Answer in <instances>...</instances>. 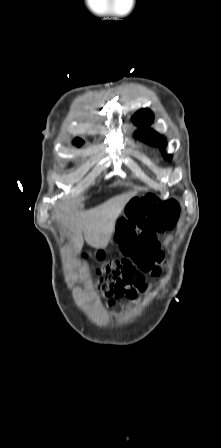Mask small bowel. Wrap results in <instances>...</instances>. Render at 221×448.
I'll list each match as a JSON object with an SVG mask.
<instances>
[{"label":"small bowel","mask_w":221,"mask_h":448,"mask_svg":"<svg viewBox=\"0 0 221 448\" xmlns=\"http://www.w3.org/2000/svg\"><path fill=\"white\" fill-rule=\"evenodd\" d=\"M140 217L141 218H143V219H146V214L143 212V211H140ZM169 238H167L165 241H164V244L166 245V244H168L169 243ZM118 241V243H119V245H120V247H121V250H122V252L125 254V255H127V256H130L131 255V252L129 251V249H128V245H130V244H132V243H134V241H135V239H134V237H131L130 239H128V240H126V241H122V240H117ZM109 296L111 297L110 299H109V301H108V305L109 306H114L115 304H116V300L117 299H119V298H121V290H118V289H110L109 290Z\"/></svg>","instance_id":"small-bowel-1"}]
</instances>
